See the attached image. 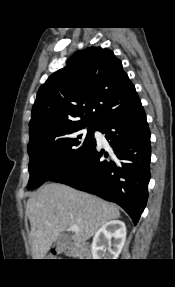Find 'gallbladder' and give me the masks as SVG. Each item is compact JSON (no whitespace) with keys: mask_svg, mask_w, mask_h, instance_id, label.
<instances>
[{"mask_svg":"<svg viewBox=\"0 0 175 287\" xmlns=\"http://www.w3.org/2000/svg\"><path fill=\"white\" fill-rule=\"evenodd\" d=\"M71 238H72V236H71L70 234H68V233H62V234H60V235L58 236V238H57L55 244H56L57 246H62V245H64V244L68 243V242L71 240Z\"/></svg>","mask_w":175,"mask_h":287,"instance_id":"bac80fb5","label":"gallbladder"}]
</instances>
